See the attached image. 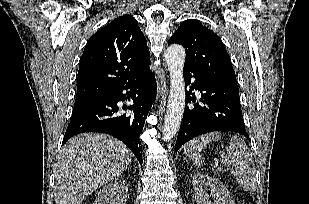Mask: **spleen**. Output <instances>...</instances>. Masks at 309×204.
Segmentation results:
<instances>
[{"mask_svg":"<svg viewBox=\"0 0 309 204\" xmlns=\"http://www.w3.org/2000/svg\"><path fill=\"white\" fill-rule=\"evenodd\" d=\"M221 139L219 132H211L191 140L185 146L186 156L193 161L199 168L204 164V157L199 155V150L205 147L208 142ZM220 162L225 167H232L234 178L238 185L246 192L254 193L256 191V170L254 160L249 148L243 139L232 137L229 146L220 156Z\"/></svg>","mask_w":309,"mask_h":204,"instance_id":"obj_1","label":"spleen"}]
</instances>
